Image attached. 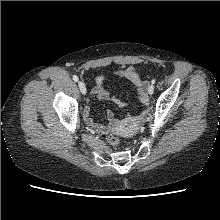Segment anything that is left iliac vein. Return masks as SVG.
I'll return each mask as SVG.
<instances>
[{"instance_id":"1","label":"left iliac vein","mask_w":220,"mask_h":220,"mask_svg":"<svg viewBox=\"0 0 220 220\" xmlns=\"http://www.w3.org/2000/svg\"><path fill=\"white\" fill-rule=\"evenodd\" d=\"M153 92H154V85L151 84V85L148 87V93H149L150 95H152Z\"/></svg>"}]
</instances>
